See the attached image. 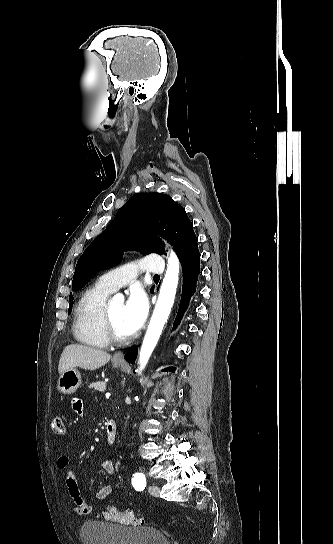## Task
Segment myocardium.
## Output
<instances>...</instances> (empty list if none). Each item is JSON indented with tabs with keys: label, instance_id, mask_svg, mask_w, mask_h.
Segmentation results:
<instances>
[{
	"label": "myocardium",
	"instance_id": "obj_1",
	"mask_svg": "<svg viewBox=\"0 0 333 544\" xmlns=\"http://www.w3.org/2000/svg\"><path fill=\"white\" fill-rule=\"evenodd\" d=\"M103 318H104V327H105L106 335L110 342L117 343V344H124L129 342L132 339L131 335L124 336L118 333L112 321V318L109 312V306L107 305L104 309Z\"/></svg>",
	"mask_w": 333,
	"mask_h": 544
}]
</instances>
